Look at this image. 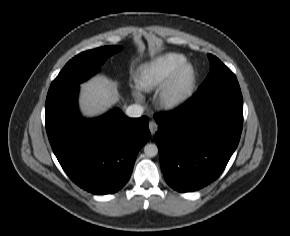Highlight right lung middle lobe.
Instances as JSON below:
<instances>
[{"label":"right lung middle lobe","instance_id":"1","mask_svg":"<svg viewBox=\"0 0 290 236\" xmlns=\"http://www.w3.org/2000/svg\"><path fill=\"white\" fill-rule=\"evenodd\" d=\"M119 50L120 46H106L78 54L64 66L50 87L79 84L87 80L98 71L108 56Z\"/></svg>","mask_w":290,"mask_h":236}]
</instances>
